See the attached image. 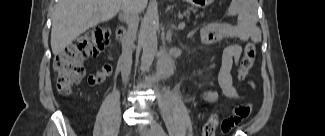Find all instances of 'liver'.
Listing matches in <instances>:
<instances>
[{"label":"liver","mask_w":325,"mask_h":136,"mask_svg":"<svg viewBox=\"0 0 325 136\" xmlns=\"http://www.w3.org/2000/svg\"><path fill=\"white\" fill-rule=\"evenodd\" d=\"M124 0H58L52 21L51 48L56 56L82 33L116 16ZM141 10L145 2H138Z\"/></svg>","instance_id":"liver-1"}]
</instances>
